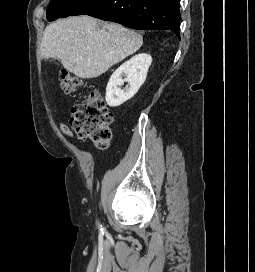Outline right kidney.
I'll return each mask as SVG.
<instances>
[{"instance_id": "obj_1", "label": "right kidney", "mask_w": 255, "mask_h": 272, "mask_svg": "<svg viewBox=\"0 0 255 272\" xmlns=\"http://www.w3.org/2000/svg\"><path fill=\"white\" fill-rule=\"evenodd\" d=\"M151 63L152 57L145 53L135 55L123 63L112 74L107 84L105 96L107 104L110 107H117L132 98L145 82ZM124 82L128 85L121 89Z\"/></svg>"}]
</instances>
